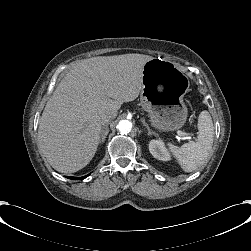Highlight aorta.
Instances as JSON below:
<instances>
[{
    "instance_id": "762f6f07",
    "label": "aorta",
    "mask_w": 251,
    "mask_h": 251,
    "mask_svg": "<svg viewBox=\"0 0 251 251\" xmlns=\"http://www.w3.org/2000/svg\"><path fill=\"white\" fill-rule=\"evenodd\" d=\"M117 128L123 134L129 133L132 128V122L126 119L120 120L117 125Z\"/></svg>"
}]
</instances>
